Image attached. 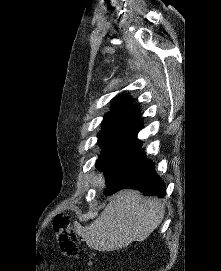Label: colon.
Returning <instances> with one entry per match:
<instances>
[{
    "instance_id": "1",
    "label": "colon",
    "mask_w": 221,
    "mask_h": 271,
    "mask_svg": "<svg viewBox=\"0 0 221 271\" xmlns=\"http://www.w3.org/2000/svg\"><path fill=\"white\" fill-rule=\"evenodd\" d=\"M74 219L68 213H59L53 220V237L65 255L79 256V241Z\"/></svg>"
}]
</instances>
